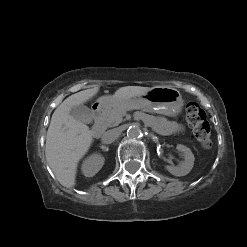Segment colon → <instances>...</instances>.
Listing matches in <instances>:
<instances>
[{"label":"colon","instance_id":"5ec220e1","mask_svg":"<svg viewBox=\"0 0 247 247\" xmlns=\"http://www.w3.org/2000/svg\"><path fill=\"white\" fill-rule=\"evenodd\" d=\"M186 120L201 146L210 148L212 145L211 128L205 111L197 103L191 102L186 106Z\"/></svg>","mask_w":247,"mask_h":247}]
</instances>
